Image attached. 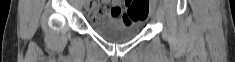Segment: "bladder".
Masks as SVG:
<instances>
[{
	"label": "bladder",
	"instance_id": "1",
	"mask_svg": "<svg viewBox=\"0 0 235 62\" xmlns=\"http://www.w3.org/2000/svg\"><path fill=\"white\" fill-rule=\"evenodd\" d=\"M92 28L101 38L112 43H121L132 40L140 31L138 23H132L129 25L117 23L109 26L95 24Z\"/></svg>",
	"mask_w": 235,
	"mask_h": 62
}]
</instances>
